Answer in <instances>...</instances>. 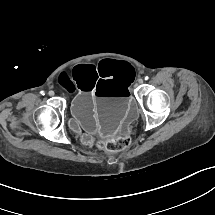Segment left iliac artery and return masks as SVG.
Instances as JSON below:
<instances>
[{"instance_id": "left-iliac-artery-1", "label": "left iliac artery", "mask_w": 215, "mask_h": 215, "mask_svg": "<svg viewBox=\"0 0 215 215\" xmlns=\"http://www.w3.org/2000/svg\"><path fill=\"white\" fill-rule=\"evenodd\" d=\"M149 79V77L148 76H145V80H148Z\"/></svg>"}]
</instances>
